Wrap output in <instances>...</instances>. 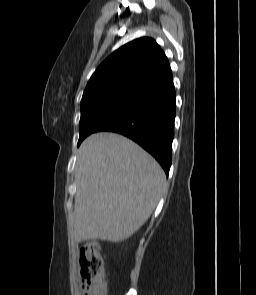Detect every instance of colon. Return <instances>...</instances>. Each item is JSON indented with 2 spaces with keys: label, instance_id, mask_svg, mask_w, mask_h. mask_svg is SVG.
I'll return each instance as SVG.
<instances>
[{
  "label": "colon",
  "instance_id": "5ec220e1",
  "mask_svg": "<svg viewBox=\"0 0 256 295\" xmlns=\"http://www.w3.org/2000/svg\"><path fill=\"white\" fill-rule=\"evenodd\" d=\"M82 288L85 295H105L106 279L101 247L96 241L85 243L79 251Z\"/></svg>",
  "mask_w": 256,
  "mask_h": 295
}]
</instances>
